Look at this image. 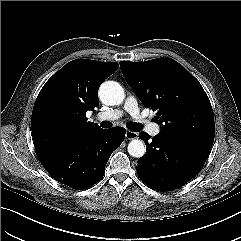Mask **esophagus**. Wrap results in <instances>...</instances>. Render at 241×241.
<instances>
[{
	"label": "esophagus",
	"mask_w": 241,
	"mask_h": 241,
	"mask_svg": "<svg viewBox=\"0 0 241 241\" xmlns=\"http://www.w3.org/2000/svg\"><path fill=\"white\" fill-rule=\"evenodd\" d=\"M125 137L129 140H133V139H136L138 138V133L137 132H133V131H130V130H127L126 131V134H125Z\"/></svg>",
	"instance_id": "obj_1"
}]
</instances>
